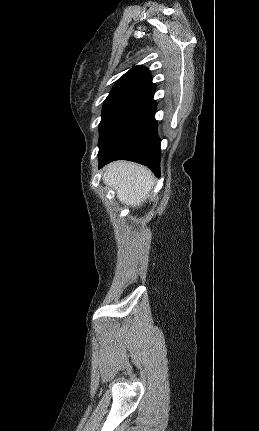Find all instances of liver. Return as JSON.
Segmentation results:
<instances>
[{
    "mask_svg": "<svg viewBox=\"0 0 259 431\" xmlns=\"http://www.w3.org/2000/svg\"><path fill=\"white\" fill-rule=\"evenodd\" d=\"M102 179L115 189L122 203L132 207L140 206L154 185L153 174L148 168L128 161H115L107 165Z\"/></svg>",
    "mask_w": 259,
    "mask_h": 431,
    "instance_id": "obj_1",
    "label": "liver"
}]
</instances>
